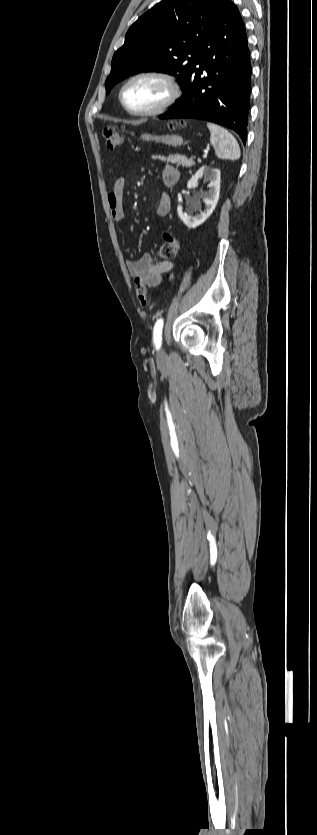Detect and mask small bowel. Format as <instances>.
Returning a JSON list of instances; mask_svg holds the SVG:
<instances>
[{"instance_id":"c3829d8e","label":"small bowel","mask_w":317,"mask_h":835,"mask_svg":"<svg viewBox=\"0 0 317 835\" xmlns=\"http://www.w3.org/2000/svg\"><path fill=\"white\" fill-rule=\"evenodd\" d=\"M162 182L166 187L174 186L180 178L179 170L171 164H166L161 171ZM124 179L118 178L108 194V206L110 213L116 222L124 220L123 209ZM171 207L170 196L163 192L160 196L156 213L160 216L166 215ZM126 267L135 284L143 285L146 289L156 287L162 276L174 268L171 261H156L152 255L144 254L135 260H127Z\"/></svg>"}]
</instances>
